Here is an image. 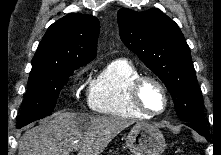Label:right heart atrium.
Returning a JSON list of instances; mask_svg holds the SVG:
<instances>
[{
	"instance_id": "right-heart-atrium-1",
	"label": "right heart atrium",
	"mask_w": 221,
	"mask_h": 155,
	"mask_svg": "<svg viewBox=\"0 0 221 155\" xmlns=\"http://www.w3.org/2000/svg\"><path fill=\"white\" fill-rule=\"evenodd\" d=\"M83 75V72L78 73L77 79H79Z\"/></svg>"
}]
</instances>
